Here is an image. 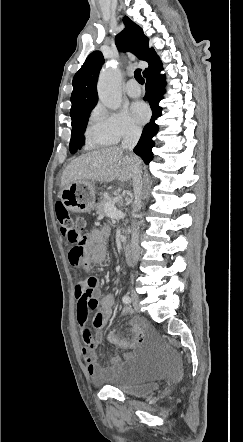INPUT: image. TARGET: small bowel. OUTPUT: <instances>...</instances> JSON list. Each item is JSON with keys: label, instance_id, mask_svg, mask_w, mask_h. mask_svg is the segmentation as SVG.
I'll list each match as a JSON object with an SVG mask.
<instances>
[{"label": "small bowel", "instance_id": "1", "mask_svg": "<svg viewBox=\"0 0 243 442\" xmlns=\"http://www.w3.org/2000/svg\"><path fill=\"white\" fill-rule=\"evenodd\" d=\"M108 228H94L86 233L85 240V257L78 264H70L75 268H89L94 264H103L108 261L109 253L106 245ZM70 253V252H69ZM76 297V320L80 329L82 341L81 353L86 363V370L89 377L95 382L100 383L108 379L117 368L120 358L113 356L109 359L107 366L100 363L99 355L95 348L103 340L102 328L110 319L115 298L113 294L102 295L99 286V280L96 276H87L85 281L79 282L74 288ZM130 309L124 307L123 313H128ZM95 329L94 332L89 327V322ZM131 339L116 335L111 332L108 335L110 343L121 349L131 350L137 343H143L145 340V327L135 319L129 322Z\"/></svg>", "mask_w": 243, "mask_h": 442}]
</instances>
